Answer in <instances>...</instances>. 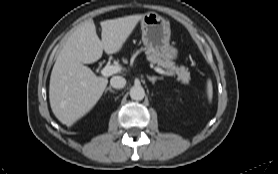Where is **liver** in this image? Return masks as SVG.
Wrapping results in <instances>:
<instances>
[{
  "label": "liver",
  "mask_w": 278,
  "mask_h": 174,
  "mask_svg": "<svg viewBox=\"0 0 278 174\" xmlns=\"http://www.w3.org/2000/svg\"><path fill=\"white\" fill-rule=\"evenodd\" d=\"M143 15H130L100 22V40L92 19L69 36L53 66L49 100L56 118L68 127L88 113L102 96L108 79L98 77L84 64L98 61L103 54L120 51Z\"/></svg>",
  "instance_id": "6515ba94"
}]
</instances>
